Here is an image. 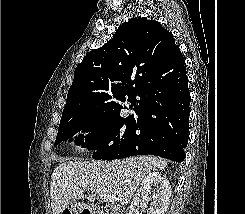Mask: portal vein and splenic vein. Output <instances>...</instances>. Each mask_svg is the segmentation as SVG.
<instances>
[{
	"label": "portal vein and splenic vein",
	"instance_id": "1",
	"mask_svg": "<svg viewBox=\"0 0 245 214\" xmlns=\"http://www.w3.org/2000/svg\"><path fill=\"white\" fill-rule=\"evenodd\" d=\"M81 187L86 188L87 186L83 183L79 184ZM98 197L106 202H115L117 201L116 195H111V194H100Z\"/></svg>",
	"mask_w": 245,
	"mask_h": 214
}]
</instances>
